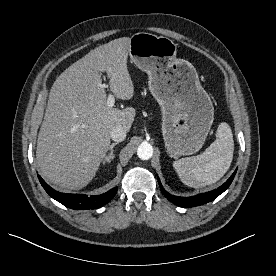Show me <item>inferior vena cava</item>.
<instances>
[{
  "mask_svg": "<svg viewBox=\"0 0 276 276\" xmlns=\"http://www.w3.org/2000/svg\"><path fill=\"white\" fill-rule=\"evenodd\" d=\"M126 130L122 126H116L111 131V138L115 142H121L126 138Z\"/></svg>",
  "mask_w": 276,
  "mask_h": 276,
  "instance_id": "602c4592",
  "label": "inferior vena cava"
}]
</instances>
